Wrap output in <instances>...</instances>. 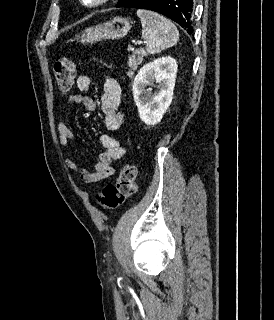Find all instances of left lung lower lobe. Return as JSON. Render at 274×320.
I'll use <instances>...</instances> for the list:
<instances>
[{
	"instance_id": "obj_1",
	"label": "left lung lower lobe",
	"mask_w": 274,
	"mask_h": 320,
	"mask_svg": "<svg viewBox=\"0 0 274 320\" xmlns=\"http://www.w3.org/2000/svg\"><path fill=\"white\" fill-rule=\"evenodd\" d=\"M121 7L156 11L177 22L192 34L193 0H128Z\"/></svg>"
}]
</instances>
